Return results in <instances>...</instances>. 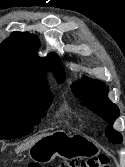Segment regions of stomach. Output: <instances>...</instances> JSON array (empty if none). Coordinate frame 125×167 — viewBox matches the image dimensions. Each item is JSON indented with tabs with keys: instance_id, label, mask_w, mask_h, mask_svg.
Returning <instances> with one entry per match:
<instances>
[{
	"instance_id": "obj_1",
	"label": "stomach",
	"mask_w": 125,
	"mask_h": 167,
	"mask_svg": "<svg viewBox=\"0 0 125 167\" xmlns=\"http://www.w3.org/2000/svg\"><path fill=\"white\" fill-rule=\"evenodd\" d=\"M97 151V146L87 136L58 131L44 136L32 145L29 156L41 164L50 162L57 156L70 160L96 154Z\"/></svg>"
}]
</instances>
